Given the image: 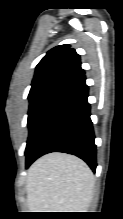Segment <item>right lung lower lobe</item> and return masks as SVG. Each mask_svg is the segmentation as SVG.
Here are the masks:
<instances>
[{
	"mask_svg": "<svg viewBox=\"0 0 123 219\" xmlns=\"http://www.w3.org/2000/svg\"><path fill=\"white\" fill-rule=\"evenodd\" d=\"M87 98L88 86L82 74L70 82L50 108L32 146V155L26 167L44 154L64 152L83 159L95 172V136Z\"/></svg>",
	"mask_w": 123,
	"mask_h": 219,
	"instance_id": "obj_1",
	"label": "right lung lower lobe"
}]
</instances>
